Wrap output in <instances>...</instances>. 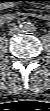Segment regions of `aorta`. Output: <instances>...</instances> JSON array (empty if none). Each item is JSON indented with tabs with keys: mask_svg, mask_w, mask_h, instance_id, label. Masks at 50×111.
I'll list each match as a JSON object with an SVG mask.
<instances>
[{
	"mask_svg": "<svg viewBox=\"0 0 50 111\" xmlns=\"http://www.w3.org/2000/svg\"><path fill=\"white\" fill-rule=\"evenodd\" d=\"M23 32H33L35 31V27L32 24L25 23L22 25Z\"/></svg>",
	"mask_w": 50,
	"mask_h": 111,
	"instance_id": "obj_1",
	"label": "aorta"
}]
</instances>
